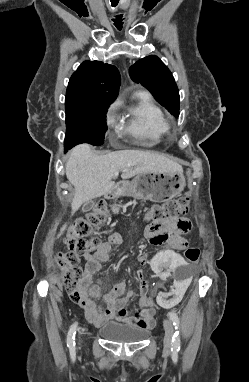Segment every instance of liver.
Segmentation results:
<instances>
[{"mask_svg":"<svg viewBox=\"0 0 249 382\" xmlns=\"http://www.w3.org/2000/svg\"><path fill=\"white\" fill-rule=\"evenodd\" d=\"M182 166L164 155L143 150H121L98 155L89 144L77 145L66 163V176L75 187L71 203L72 214L82 204L110 193L115 188L116 172H122V179H129L141 173L182 172ZM67 225H63L61 236Z\"/></svg>","mask_w":249,"mask_h":382,"instance_id":"obj_1","label":"liver"}]
</instances>
